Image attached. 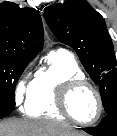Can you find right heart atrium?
I'll return each instance as SVG.
<instances>
[{
	"instance_id": "right-heart-atrium-1",
	"label": "right heart atrium",
	"mask_w": 117,
	"mask_h": 136,
	"mask_svg": "<svg viewBox=\"0 0 117 136\" xmlns=\"http://www.w3.org/2000/svg\"><path fill=\"white\" fill-rule=\"evenodd\" d=\"M33 80L31 79L30 69H26L18 79L14 89V102L21 106L31 93Z\"/></svg>"
}]
</instances>
